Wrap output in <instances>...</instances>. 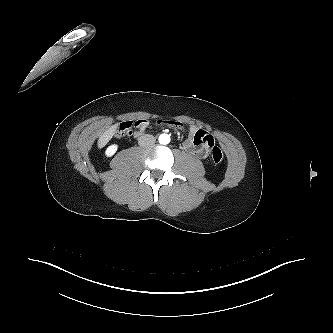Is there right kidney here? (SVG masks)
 <instances>
[{
    "label": "right kidney",
    "mask_w": 333,
    "mask_h": 333,
    "mask_svg": "<svg viewBox=\"0 0 333 333\" xmlns=\"http://www.w3.org/2000/svg\"><path fill=\"white\" fill-rule=\"evenodd\" d=\"M117 148H118V146L116 144L109 146L105 151V155L107 157H111L117 151Z\"/></svg>",
    "instance_id": "1"
}]
</instances>
